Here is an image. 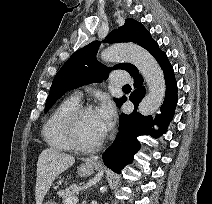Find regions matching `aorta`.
I'll list each match as a JSON object with an SVG mask.
<instances>
[{
    "instance_id": "aorta-1",
    "label": "aorta",
    "mask_w": 212,
    "mask_h": 204,
    "mask_svg": "<svg viewBox=\"0 0 212 204\" xmlns=\"http://www.w3.org/2000/svg\"><path fill=\"white\" fill-rule=\"evenodd\" d=\"M101 59L104 62L128 61L141 72L149 89L138 107V111L142 115H152L160 107L166 89L164 74L157 61L147 50L133 44H115L101 52ZM106 190L107 187H104L103 192Z\"/></svg>"
}]
</instances>
